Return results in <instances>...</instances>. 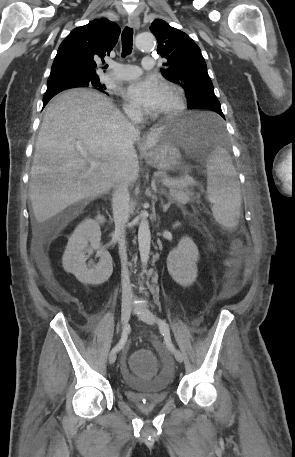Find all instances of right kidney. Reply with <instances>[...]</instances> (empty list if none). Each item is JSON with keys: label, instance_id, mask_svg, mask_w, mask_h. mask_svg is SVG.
<instances>
[{"label": "right kidney", "instance_id": "right-kidney-1", "mask_svg": "<svg viewBox=\"0 0 295 457\" xmlns=\"http://www.w3.org/2000/svg\"><path fill=\"white\" fill-rule=\"evenodd\" d=\"M104 222L105 218L100 214L95 219L81 222L70 236L62 258L65 271L74 274L85 285H100L106 282L113 272L111 255L100 247V224ZM94 250L100 260L97 264L87 265L85 254H92Z\"/></svg>", "mask_w": 295, "mask_h": 457}]
</instances>
